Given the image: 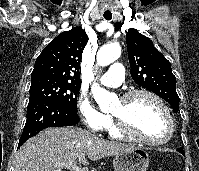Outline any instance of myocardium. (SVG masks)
Returning <instances> with one entry per match:
<instances>
[{
    "instance_id": "f54148a6",
    "label": "myocardium",
    "mask_w": 199,
    "mask_h": 171,
    "mask_svg": "<svg viewBox=\"0 0 199 171\" xmlns=\"http://www.w3.org/2000/svg\"><path fill=\"white\" fill-rule=\"evenodd\" d=\"M141 95L147 96V97H150L151 99H153L164 111L166 118L168 120V126H169V132H168L167 137L163 140H152L145 136L140 135L133 129V127L131 126V124L124 112L119 113V114H114V113L111 114L116 129L123 136H125L129 139H132L134 141L145 143L148 145L161 146V145H165V144L169 143L175 134V122H174L172 113H171L168 105L158 94H156L155 92H153L151 90L144 89V88L132 89V90L125 92L121 96L120 100L124 104H127L134 97L141 96Z\"/></svg>"
}]
</instances>
